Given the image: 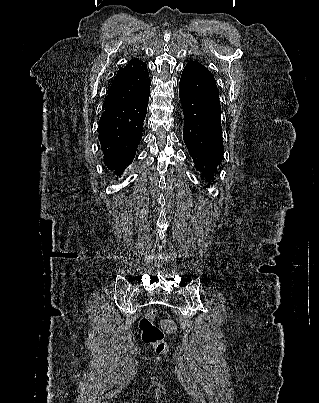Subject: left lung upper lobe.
I'll use <instances>...</instances> for the list:
<instances>
[{
	"label": "left lung upper lobe",
	"mask_w": 319,
	"mask_h": 403,
	"mask_svg": "<svg viewBox=\"0 0 319 403\" xmlns=\"http://www.w3.org/2000/svg\"><path fill=\"white\" fill-rule=\"evenodd\" d=\"M187 65H194V66H200V67H204L201 63H198L196 61H190L188 62ZM205 68V67H204Z\"/></svg>",
	"instance_id": "left-lung-upper-lobe-1"
}]
</instances>
